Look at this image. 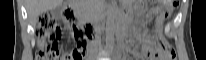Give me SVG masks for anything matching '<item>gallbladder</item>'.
I'll list each match as a JSON object with an SVG mask.
<instances>
[{
	"instance_id": "bac80fb5",
	"label": "gallbladder",
	"mask_w": 206,
	"mask_h": 60,
	"mask_svg": "<svg viewBox=\"0 0 206 60\" xmlns=\"http://www.w3.org/2000/svg\"><path fill=\"white\" fill-rule=\"evenodd\" d=\"M51 14L54 18L56 19H60L61 16H62V7L59 6V7H56L54 9L51 10Z\"/></svg>"
}]
</instances>
